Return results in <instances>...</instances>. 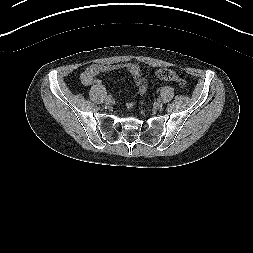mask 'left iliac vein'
I'll return each instance as SVG.
<instances>
[{
    "instance_id": "left-iliac-vein-1",
    "label": "left iliac vein",
    "mask_w": 253,
    "mask_h": 253,
    "mask_svg": "<svg viewBox=\"0 0 253 253\" xmlns=\"http://www.w3.org/2000/svg\"><path fill=\"white\" fill-rule=\"evenodd\" d=\"M155 106L159 109H161L162 105L160 103H155Z\"/></svg>"
}]
</instances>
